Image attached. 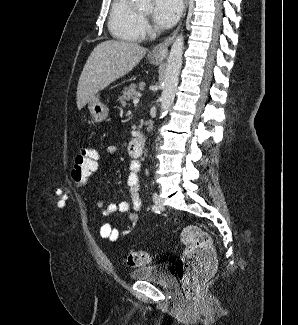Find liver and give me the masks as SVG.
I'll return each instance as SVG.
<instances>
[{"mask_svg": "<svg viewBox=\"0 0 298 325\" xmlns=\"http://www.w3.org/2000/svg\"><path fill=\"white\" fill-rule=\"evenodd\" d=\"M147 50L138 42L125 40H104L94 46L79 76L76 90L78 110H82L97 92L131 72Z\"/></svg>", "mask_w": 298, "mask_h": 325, "instance_id": "obj_1", "label": "liver"}]
</instances>
